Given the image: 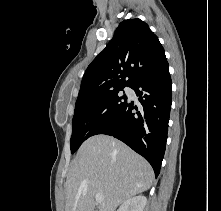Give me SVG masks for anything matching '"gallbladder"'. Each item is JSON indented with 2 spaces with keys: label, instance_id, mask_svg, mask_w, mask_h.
Here are the masks:
<instances>
[{
  "label": "gallbladder",
  "instance_id": "1",
  "mask_svg": "<svg viewBox=\"0 0 221 211\" xmlns=\"http://www.w3.org/2000/svg\"><path fill=\"white\" fill-rule=\"evenodd\" d=\"M94 211H98V209H97V208H95V209H94Z\"/></svg>",
  "mask_w": 221,
  "mask_h": 211
}]
</instances>
